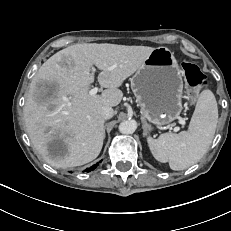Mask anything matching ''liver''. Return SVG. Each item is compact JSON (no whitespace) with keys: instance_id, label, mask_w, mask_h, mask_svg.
<instances>
[{"instance_id":"1","label":"liver","mask_w":231,"mask_h":231,"mask_svg":"<svg viewBox=\"0 0 231 231\" xmlns=\"http://www.w3.org/2000/svg\"><path fill=\"white\" fill-rule=\"evenodd\" d=\"M155 49L108 43L75 44L55 53L39 68L26 97L24 119L30 140L46 163L69 168L86 164L99 155L105 137L102 108L121 102L123 93L118 88ZM93 65L101 70L97 79L106 89L91 96ZM40 89L50 95L38 102L36 94ZM54 143H61L62 148H53Z\"/></svg>"}]
</instances>
